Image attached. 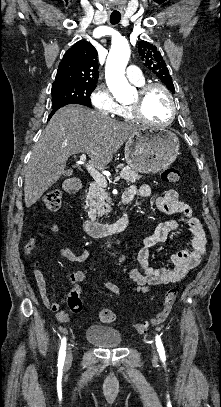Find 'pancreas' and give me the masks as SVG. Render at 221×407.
I'll return each mask as SVG.
<instances>
[{"label":"pancreas","mask_w":221,"mask_h":407,"mask_svg":"<svg viewBox=\"0 0 221 407\" xmlns=\"http://www.w3.org/2000/svg\"><path fill=\"white\" fill-rule=\"evenodd\" d=\"M117 168H120V175L126 182L134 183L141 177L130 167L118 166ZM85 202L84 209L92 220H95L97 217H103L111 211L110 198L105 187L96 182L90 184Z\"/></svg>","instance_id":"pancreas-1"}]
</instances>
